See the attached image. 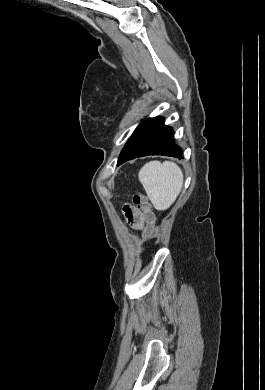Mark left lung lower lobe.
<instances>
[{"label": "left lung lower lobe", "instance_id": "1", "mask_svg": "<svg viewBox=\"0 0 265 390\" xmlns=\"http://www.w3.org/2000/svg\"><path fill=\"white\" fill-rule=\"evenodd\" d=\"M148 155L183 158L181 147L175 144L173 129L164 125L162 117H154L140 123L125 144L117 165Z\"/></svg>", "mask_w": 265, "mask_h": 390}]
</instances>
